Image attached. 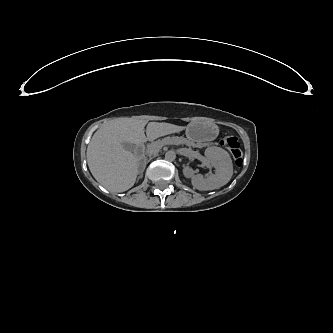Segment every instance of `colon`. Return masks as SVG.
Here are the masks:
<instances>
[{"label": "colon", "mask_w": 333, "mask_h": 333, "mask_svg": "<svg viewBox=\"0 0 333 333\" xmlns=\"http://www.w3.org/2000/svg\"><path fill=\"white\" fill-rule=\"evenodd\" d=\"M221 144L230 151L234 163L240 167L242 165V151L238 139L233 136H227L221 140Z\"/></svg>", "instance_id": "1"}]
</instances>
